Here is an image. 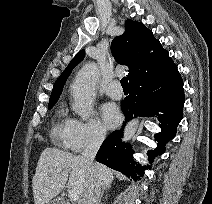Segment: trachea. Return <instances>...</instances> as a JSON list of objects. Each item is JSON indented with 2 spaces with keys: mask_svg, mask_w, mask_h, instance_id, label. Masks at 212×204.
Instances as JSON below:
<instances>
[{
  "mask_svg": "<svg viewBox=\"0 0 212 204\" xmlns=\"http://www.w3.org/2000/svg\"><path fill=\"white\" fill-rule=\"evenodd\" d=\"M121 86H122L123 90H128V78L127 77H123L121 79Z\"/></svg>",
  "mask_w": 212,
  "mask_h": 204,
  "instance_id": "trachea-1",
  "label": "trachea"
}]
</instances>
